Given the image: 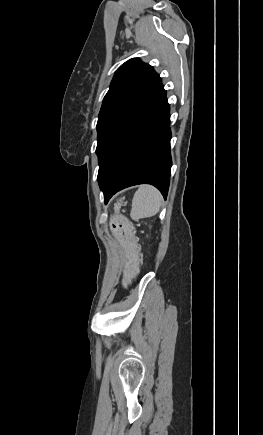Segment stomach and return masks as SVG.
Returning <instances> with one entry per match:
<instances>
[{
	"label": "stomach",
	"mask_w": 263,
	"mask_h": 435,
	"mask_svg": "<svg viewBox=\"0 0 263 435\" xmlns=\"http://www.w3.org/2000/svg\"><path fill=\"white\" fill-rule=\"evenodd\" d=\"M123 201L118 200L115 204V210L118 211L122 206ZM107 224L110 225V232L116 233L117 245L118 247H122L123 252H138L139 249V240L136 238L135 225L132 224L131 216H108ZM129 262H138L139 254L138 253H129L128 254ZM123 276L128 274L126 269L121 271ZM123 288H136L137 281L136 279H123L122 281Z\"/></svg>",
	"instance_id": "obj_1"
}]
</instances>
